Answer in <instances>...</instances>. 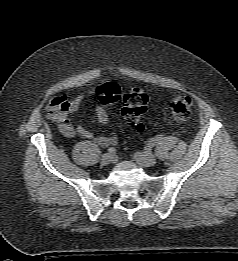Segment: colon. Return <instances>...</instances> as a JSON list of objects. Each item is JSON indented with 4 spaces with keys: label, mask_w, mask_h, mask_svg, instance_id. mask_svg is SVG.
I'll use <instances>...</instances> for the list:
<instances>
[{
    "label": "colon",
    "mask_w": 238,
    "mask_h": 261,
    "mask_svg": "<svg viewBox=\"0 0 238 261\" xmlns=\"http://www.w3.org/2000/svg\"><path fill=\"white\" fill-rule=\"evenodd\" d=\"M100 105L106 106L122 101V114L129 125L138 133L144 131L141 121L146 112L148 104V93L141 87H134L122 93L120 87L115 83H106L100 86L97 91ZM192 99L186 95H174L169 101V107L174 117L180 121L189 118L192 111ZM68 100L65 96H57L48 103L47 110L51 118H55L67 110Z\"/></svg>",
    "instance_id": "1"
}]
</instances>
